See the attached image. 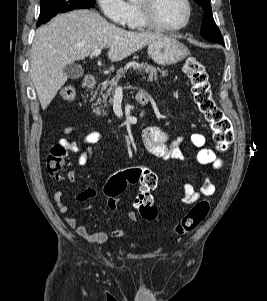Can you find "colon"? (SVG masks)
Listing matches in <instances>:
<instances>
[{
    "label": "colon",
    "mask_w": 267,
    "mask_h": 301,
    "mask_svg": "<svg viewBox=\"0 0 267 301\" xmlns=\"http://www.w3.org/2000/svg\"><path fill=\"white\" fill-rule=\"evenodd\" d=\"M183 71L191 81L194 101L210 125L216 148L221 152L226 151L234 139L232 124L213 99L204 65L197 58L188 57ZM76 93L73 85H66L61 89V97L65 101L74 100ZM65 157L66 149L60 144L54 145L46 157V169L56 179L61 177L60 171ZM135 184L139 185V194L134 202L135 208L145 220H155L157 208L152 192L157 184V176L148 167L131 165L115 171L103 184L101 193L109 207ZM209 210L208 201L197 202L175 226V232L183 235L195 230L206 219Z\"/></svg>",
    "instance_id": "5ec220e1"
}]
</instances>
